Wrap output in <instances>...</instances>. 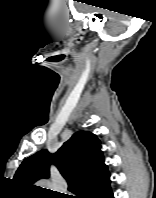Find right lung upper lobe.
<instances>
[{
	"instance_id": "1",
	"label": "right lung upper lobe",
	"mask_w": 156,
	"mask_h": 198,
	"mask_svg": "<svg viewBox=\"0 0 156 198\" xmlns=\"http://www.w3.org/2000/svg\"><path fill=\"white\" fill-rule=\"evenodd\" d=\"M51 163L67 180L68 190L81 194V198H97L110 188V174L104 164L100 141L91 132H76L55 154L41 150L26 158L14 179L33 186L40 178L49 177Z\"/></svg>"
}]
</instances>
